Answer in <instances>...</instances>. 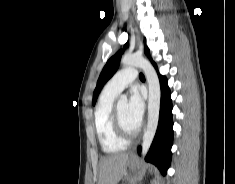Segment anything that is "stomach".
Returning a JSON list of instances; mask_svg holds the SVG:
<instances>
[{
	"instance_id": "1",
	"label": "stomach",
	"mask_w": 235,
	"mask_h": 184,
	"mask_svg": "<svg viewBox=\"0 0 235 184\" xmlns=\"http://www.w3.org/2000/svg\"><path fill=\"white\" fill-rule=\"evenodd\" d=\"M136 160H137L136 156H133V154H131V156L128 160V166H129L130 170H133V168H135Z\"/></svg>"
}]
</instances>
